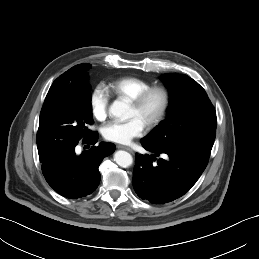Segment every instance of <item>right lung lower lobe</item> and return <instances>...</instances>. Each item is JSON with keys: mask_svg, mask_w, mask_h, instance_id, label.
Segmentation results:
<instances>
[{"mask_svg": "<svg viewBox=\"0 0 259 259\" xmlns=\"http://www.w3.org/2000/svg\"><path fill=\"white\" fill-rule=\"evenodd\" d=\"M98 134L84 138L85 143L97 141ZM115 150L113 143H101L76 155L75 147L66 153L40 159L47 183L60 195L77 199L91 194L99 185L98 167L102 160Z\"/></svg>", "mask_w": 259, "mask_h": 259, "instance_id": "right-lung-lower-lobe-1", "label": "right lung lower lobe"}]
</instances>
